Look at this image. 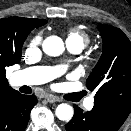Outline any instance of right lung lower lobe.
Segmentation results:
<instances>
[{
    "label": "right lung lower lobe",
    "instance_id": "obj_1",
    "mask_svg": "<svg viewBox=\"0 0 131 131\" xmlns=\"http://www.w3.org/2000/svg\"><path fill=\"white\" fill-rule=\"evenodd\" d=\"M36 103L35 95L20 93L3 100L0 103V131H25Z\"/></svg>",
    "mask_w": 131,
    "mask_h": 131
}]
</instances>
